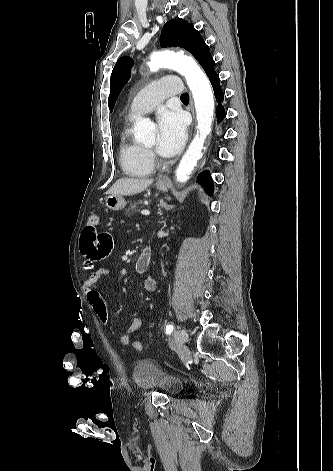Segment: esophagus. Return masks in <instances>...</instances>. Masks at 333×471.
Returning <instances> with one entry per match:
<instances>
[{
	"label": "esophagus",
	"instance_id": "esophagus-1",
	"mask_svg": "<svg viewBox=\"0 0 333 471\" xmlns=\"http://www.w3.org/2000/svg\"><path fill=\"white\" fill-rule=\"evenodd\" d=\"M190 110H191V113H192V115H193V117H194V108H193V104H192V103H191V108H190ZM168 181H169L168 176H163V177H161V178L159 179V182H162V183H165V182H168Z\"/></svg>",
	"mask_w": 333,
	"mask_h": 471
}]
</instances>
